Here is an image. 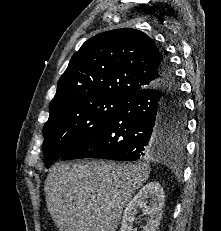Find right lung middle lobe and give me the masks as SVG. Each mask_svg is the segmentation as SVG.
<instances>
[{"label": "right lung middle lobe", "mask_w": 221, "mask_h": 231, "mask_svg": "<svg viewBox=\"0 0 221 231\" xmlns=\"http://www.w3.org/2000/svg\"><path fill=\"white\" fill-rule=\"evenodd\" d=\"M126 99L105 95L73 101L50 115L43 128V153L48 167L99 130L118 111ZM186 115L181 101L168 104L165 110L164 137L182 149L185 143Z\"/></svg>", "instance_id": "dd1d6c3e"}]
</instances>
